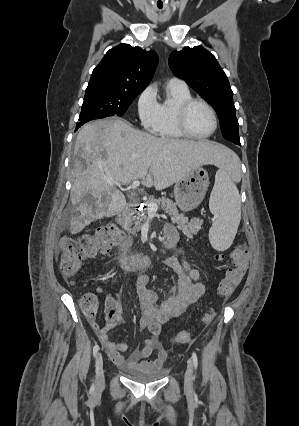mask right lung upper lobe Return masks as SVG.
<instances>
[{
  "mask_svg": "<svg viewBox=\"0 0 299 426\" xmlns=\"http://www.w3.org/2000/svg\"><path fill=\"white\" fill-rule=\"evenodd\" d=\"M157 64L154 51L122 43L105 54L93 70L89 85L143 91L153 78Z\"/></svg>",
  "mask_w": 299,
  "mask_h": 426,
  "instance_id": "cb5924a9",
  "label": "right lung upper lobe"
}]
</instances>
